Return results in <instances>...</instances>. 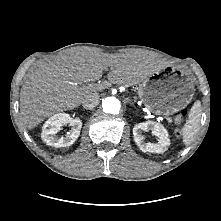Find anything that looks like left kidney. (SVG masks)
<instances>
[{
	"label": "left kidney",
	"instance_id": "left-kidney-1",
	"mask_svg": "<svg viewBox=\"0 0 221 221\" xmlns=\"http://www.w3.org/2000/svg\"><path fill=\"white\" fill-rule=\"evenodd\" d=\"M149 130H151L152 134L158 138L157 143L144 142L142 132ZM133 136L137 146L143 152L163 153L167 150L168 146L170 145V139L167 130L162 124L153 121H147L136 124L133 128Z\"/></svg>",
	"mask_w": 221,
	"mask_h": 221
}]
</instances>
